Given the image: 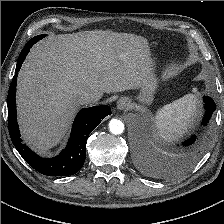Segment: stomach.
I'll use <instances>...</instances> for the list:
<instances>
[{
  "label": "stomach",
  "mask_w": 224,
  "mask_h": 224,
  "mask_svg": "<svg viewBox=\"0 0 224 224\" xmlns=\"http://www.w3.org/2000/svg\"><path fill=\"white\" fill-rule=\"evenodd\" d=\"M158 81L154 73V63L150 64L149 72L140 84V94L136 98L142 104H149L152 101L153 93L157 89Z\"/></svg>",
  "instance_id": "stomach-1"
}]
</instances>
